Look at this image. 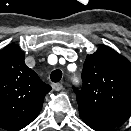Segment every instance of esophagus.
<instances>
[{
    "instance_id": "1",
    "label": "esophagus",
    "mask_w": 131,
    "mask_h": 131,
    "mask_svg": "<svg viewBox=\"0 0 131 131\" xmlns=\"http://www.w3.org/2000/svg\"><path fill=\"white\" fill-rule=\"evenodd\" d=\"M52 88H53V90H55V91H60V90L63 89V85H62L61 83H53V84H52Z\"/></svg>"
}]
</instances>
